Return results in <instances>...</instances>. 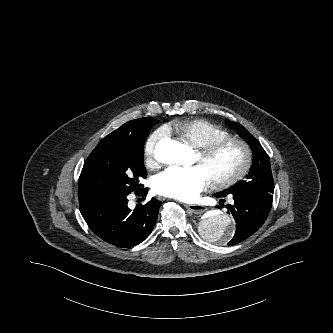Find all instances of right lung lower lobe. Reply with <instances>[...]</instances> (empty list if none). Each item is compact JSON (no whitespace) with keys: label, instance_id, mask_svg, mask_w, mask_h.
Returning a JSON list of instances; mask_svg holds the SVG:
<instances>
[{"label":"right lung lower lobe","instance_id":"1","mask_svg":"<svg viewBox=\"0 0 333 333\" xmlns=\"http://www.w3.org/2000/svg\"><path fill=\"white\" fill-rule=\"evenodd\" d=\"M147 188L136 194L146 196ZM129 193L105 192L79 196L80 212L89 228L102 240L117 247L138 245L152 232L160 201L152 198L145 205L128 208Z\"/></svg>","mask_w":333,"mask_h":333}]
</instances>
